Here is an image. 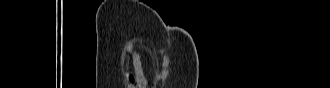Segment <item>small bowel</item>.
Returning a JSON list of instances; mask_svg holds the SVG:
<instances>
[{
  "instance_id": "obj_1",
  "label": "small bowel",
  "mask_w": 330,
  "mask_h": 88,
  "mask_svg": "<svg viewBox=\"0 0 330 88\" xmlns=\"http://www.w3.org/2000/svg\"><path fill=\"white\" fill-rule=\"evenodd\" d=\"M133 65L136 69H139L141 66L140 59H139V54L135 53L133 56ZM128 81L130 83H133L135 81L134 76H129Z\"/></svg>"
}]
</instances>
